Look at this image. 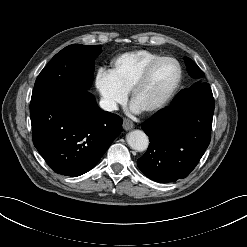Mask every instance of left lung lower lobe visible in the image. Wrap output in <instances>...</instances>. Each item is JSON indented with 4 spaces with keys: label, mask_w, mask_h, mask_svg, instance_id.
Listing matches in <instances>:
<instances>
[{
    "label": "left lung lower lobe",
    "mask_w": 247,
    "mask_h": 247,
    "mask_svg": "<svg viewBox=\"0 0 247 247\" xmlns=\"http://www.w3.org/2000/svg\"><path fill=\"white\" fill-rule=\"evenodd\" d=\"M213 113L211 88L202 83L147 119L142 129L150 144L137 160L141 172L159 183L187 177L210 143Z\"/></svg>",
    "instance_id": "0a47b994"
}]
</instances>
